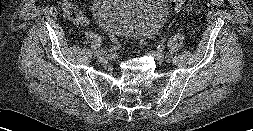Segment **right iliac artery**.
<instances>
[{
	"label": "right iliac artery",
	"mask_w": 253,
	"mask_h": 131,
	"mask_svg": "<svg viewBox=\"0 0 253 131\" xmlns=\"http://www.w3.org/2000/svg\"><path fill=\"white\" fill-rule=\"evenodd\" d=\"M114 49H115V48H114ZM110 50L112 51L113 48H110ZM104 52H105V50H103V49H101V50L96 49V48H93V49H92V53L95 54L96 56H99L100 54H102V53H104Z\"/></svg>",
	"instance_id": "right-iliac-artery-1"
}]
</instances>
